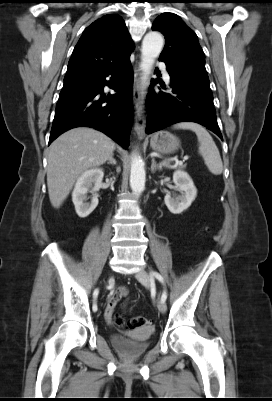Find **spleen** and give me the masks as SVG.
I'll use <instances>...</instances> for the list:
<instances>
[{
	"label": "spleen",
	"mask_w": 272,
	"mask_h": 401,
	"mask_svg": "<svg viewBox=\"0 0 272 401\" xmlns=\"http://www.w3.org/2000/svg\"><path fill=\"white\" fill-rule=\"evenodd\" d=\"M177 129H189L196 133L199 143V153L203 157L208 170L214 175L223 171V163L219 150L207 130L193 122H181L174 125Z\"/></svg>",
	"instance_id": "spleen-1"
}]
</instances>
